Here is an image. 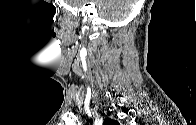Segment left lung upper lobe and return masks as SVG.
I'll use <instances>...</instances> for the list:
<instances>
[{
    "label": "left lung upper lobe",
    "instance_id": "left-lung-upper-lobe-1",
    "mask_svg": "<svg viewBox=\"0 0 196 125\" xmlns=\"http://www.w3.org/2000/svg\"><path fill=\"white\" fill-rule=\"evenodd\" d=\"M108 125H119V123L117 121L111 120V119H106V121Z\"/></svg>",
    "mask_w": 196,
    "mask_h": 125
}]
</instances>
